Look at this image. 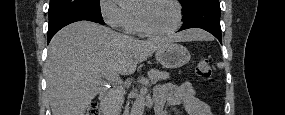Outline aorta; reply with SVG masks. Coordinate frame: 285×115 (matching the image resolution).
Returning a JSON list of instances; mask_svg holds the SVG:
<instances>
[{"label": "aorta", "instance_id": "aorta-1", "mask_svg": "<svg viewBox=\"0 0 285 115\" xmlns=\"http://www.w3.org/2000/svg\"><path fill=\"white\" fill-rule=\"evenodd\" d=\"M118 4H123L125 0H116ZM145 109V95L141 93L137 96L132 109L131 115H143Z\"/></svg>", "mask_w": 285, "mask_h": 115}]
</instances>
